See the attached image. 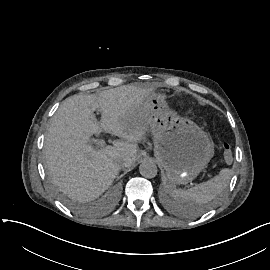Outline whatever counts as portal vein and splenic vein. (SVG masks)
<instances>
[{
  "label": "portal vein and splenic vein",
  "instance_id": "obj_1",
  "mask_svg": "<svg viewBox=\"0 0 270 270\" xmlns=\"http://www.w3.org/2000/svg\"><path fill=\"white\" fill-rule=\"evenodd\" d=\"M102 126L103 127H109V124L108 123H102ZM105 150V143L103 142V139L102 138H99L98 139V143L96 144V147L94 148V151L95 152H102Z\"/></svg>",
  "mask_w": 270,
  "mask_h": 270
}]
</instances>
